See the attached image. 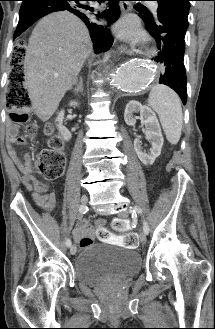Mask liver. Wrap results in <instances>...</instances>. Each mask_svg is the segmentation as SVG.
I'll return each mask as SVG.
<instances>
[{
	"label": "liver",
	"mask_w": 215,
	"mask_h": 329,
	"mask_svg": "<svg viewBox=\"0 0 215 329\" xmlns=\"http://www.w3.org/2000/svg\"><path fill=\"white\" fill-rule=\"evenodd\" d=\"M91 51L86 25L67 11L52 13L35 26L26 48L24 73L32 108L42 121L55 113L77 82Z\"/></svg>",
	"instance_id": "obj_1"
}]
</instances>
